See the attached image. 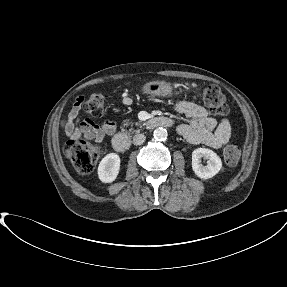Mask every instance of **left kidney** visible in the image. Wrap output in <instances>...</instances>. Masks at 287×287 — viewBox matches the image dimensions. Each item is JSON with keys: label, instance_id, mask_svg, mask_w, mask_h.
Here are the masks:
<instances>
[{"label": "left kidney", "instance_id": "1", "mask_svg": "<svg viewBox=\"0 0 287 287\" xmlns=\"http://www.w3.org/2000/svg\"><path fill=\"white\" fill-rule=\"evenodd\" d=\"M202 157L208 160L206 166L201 164ZM221 168L222 161L212 150L197 148L192 152V169L198 177L202 179L212 178L221 170Z\"/></svg>", "mask_w": 287, "mask_h": 287}]
</instances>
